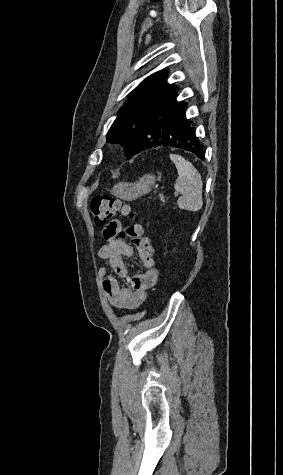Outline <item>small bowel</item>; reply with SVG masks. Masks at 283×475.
Wrapping results in <instances>:
<instances>
[{"mask_svg":"<svg viewBox=\"0 0 283 475\" xmlns=\"http://www.w3.org/2000/svg\"><path fill=\"white\" fill-rule=\"evenodd\" d=\"M120 233V226L115 219L105 221L102 235L106 242L99 250V257L115 275L109 274L106 267L102 266L98 269V276L110 305L120 311H133L143 303L147 290L156 284L159 271L155 267L152 274L130 276L123 258L133 257L134 250L128 243L117 239ZM117 277L125 279L127 286H121Z\"/></svg>","mask_w":283,"mask_h":475,"instance_id":"1","label":"small bowel"}]
</instances>
